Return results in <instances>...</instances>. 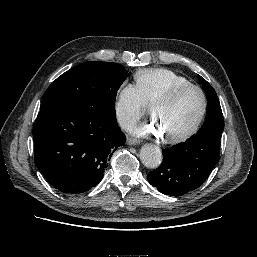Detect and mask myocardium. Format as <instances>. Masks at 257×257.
Masks as SVG:
<instances>
[{
	"label": "myocardium",
	"mask_w": 257,
	"mask_h": 257,
	"mask_svg": "<svg viewBox=\"0 0 257 257\" xmlns=\"http://www.w3.org/2000/svg\"><path fill=\"white\" fill-rule=\"evenodd\" d=\"M189 90H195L200 94L202 101L201 111L195 122L188 129L181 133L167 136L166 139L170 142H179L186 140L187 138L191 137L193 134L197 132L202 122L204 121L208 111V99L206 93L201 87L194 84L180 85L158 97L151 105L150 112L152 116H154V109L157 106L170 104L174 102L181 94Z\"/></svg>",
	"instance_id": "1"
}]
</instances>
